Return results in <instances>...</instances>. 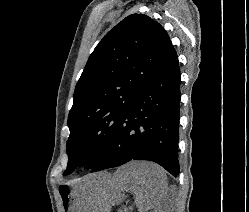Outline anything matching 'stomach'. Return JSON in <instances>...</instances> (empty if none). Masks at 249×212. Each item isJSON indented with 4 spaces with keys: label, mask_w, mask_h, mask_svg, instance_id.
I'll list each match as a JSON object with an SVG mask.
<instances>
[{
    "label": "stomach",
    "mask_w": 249,
    "mask_h": 212,
    "mask_svg": "<svg viewBox=\"0 0 249 212\" xmlns=\"http://www.w3.org/2000/svg\"><path fill=\"white\" fill-rule=\"evenodd\" d=\"M122 184L118 179H111V175H103V170H96L90 178L63 184L60 196L64 212H107L115 210L118 193H121Z\"/></svg>",
    "instance_id": "0dacf381"
}]
</instances>
